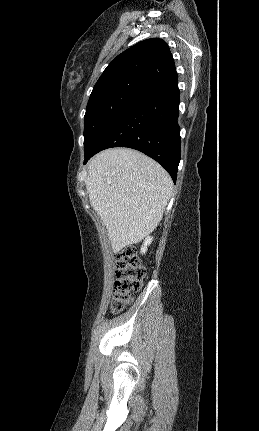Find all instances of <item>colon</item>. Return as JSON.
<instances>
[{"mask_svg":"<svg viewBox=\"0 0 259 431\" xmlns=\"http://www.w3.org/2000/svg\"><path fill=\"white\" fill-rule=\"evenodd\" d=\"M116 281L113 289L111 311L121 312L131 303L133 294L138 291L146 275L134 247L128 246L115 257Z\"/></svg>","mask_w":259,"mask_h":431,"instance_id":"5ec220e1","label":"colon"}]
</instances>
